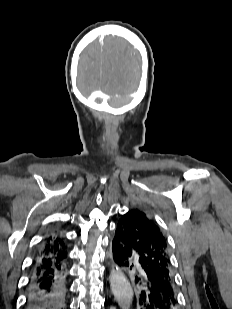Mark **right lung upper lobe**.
<instances>
[{"label":"right lung upper lobe","instance_id":"1","mask_svg":"<svg viewBox=\"0 0 232 309\" xmlns=\"http://www.w3.org/2000/svg\"><path fill=\"white\" fill-rule=\"evenodd\" d=\"M67 255V246L59 235L50 236L46 239L43 248L38 252L37 257L55 256L65 257Z\"/></svg>","mask_w":232,"mask_h":309}]
</instances>
